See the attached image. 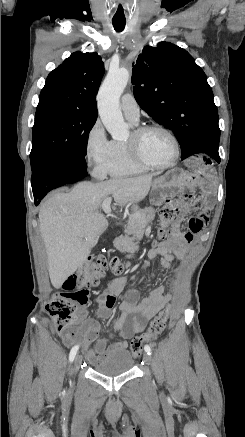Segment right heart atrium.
Masks as SVG:
<instances>
[{
    "label": "right heart atrium",
    "instance_id": "obj_1",
    "mask_svg": "<svg viewBox=\"0 0 245 437\" xmlns=\"http://www.w3.org/2000/svg\"><path fill=\"white\" fill-rule=\"evenodd\" d=\"M113 141L107 136L100 120L94 122L85 142V159L96 177L107 174V167L112 156Z\"/></svg>",
    "mask_w": 245,
    "mask_h": 437
}]
</instances>
